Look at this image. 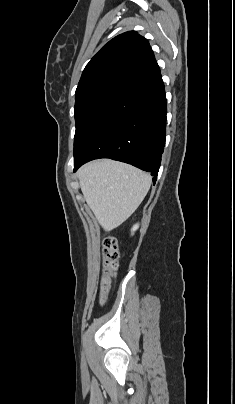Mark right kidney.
I'll return each mask as SVG.
<instances>
[{
	"instance_id": "1",
	"label": "right kidney",
	"mask_w": 235,
	"mask_h": 404,
	"mask_svg": "<svg viewBox=\"0 0 235 404\" xmlns=\"http://www.w3.org/2000/svg\"><path fill=\"white\" fill-rule=\"evenodd\" d=\"M137 228H138V225H135V226L133 227L132 231L134 232L135 230H137Z\"/></svg>"
}]
</instances>
